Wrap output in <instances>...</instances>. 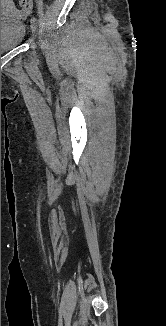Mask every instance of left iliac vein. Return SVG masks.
I'll return each instance as SVG.
<instances>
[{
  "label": "left iliac vein",
  "instance_id": "left-iliac-vein-1",
  "mask_svg": "<svg viewBox=\"0 0 166 326\" xmlns=\"http://www.w3.org/2000/svg\"><path fill=\"white\" fill-rule=\"evenodd\" d=\"M30 26H31L32 32L36 33V31H37V19L35 17L31 18Z\"/></svg>",
  "mask_w": 166,
  "mask_h": 326
}]
</instances>
